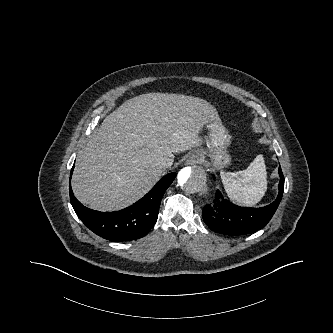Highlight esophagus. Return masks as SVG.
<instances>
[{
    "label": "esophagus",
    "instance_id": "obj_1",
    "mask_svg": "<svg viewBox=\"0 0 333 333\" xmlns=\"http://www.w3.org/2000/svg\"><path fill=\"white\" fill-rule=\"evenodd\" d=\"M201 160H202L201 155L196 152V153L191 154L188 157V159L186 160V163L189 165H192V164L200 163Z\"/></svg>",
    "mask_w": 333,
    "mask_h": 333
}]
</instances>
